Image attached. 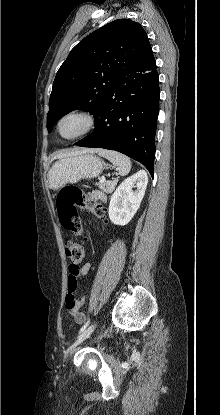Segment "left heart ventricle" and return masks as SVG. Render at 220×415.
<instances>
[{
  "mask_svg": "<svg viewBox=\"0 0 220 415\" xmlns=\"http://www.w3.org/2000/svg\"><path fill=\"white\" fill-rule=\"evenodd\" d=\"M83 126V123L80 119L78 118H68L66 119L60 127V132L63 136H72L74 134H76L77 132H79L81 130Z\"/></svg>",
  "mask_w": 220,
  "mask_h": 415,
  "instance_id": "left-heart-ventricle-1",
  "label": "left heart ventricle"
}]
</instances>
